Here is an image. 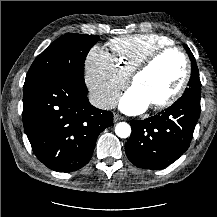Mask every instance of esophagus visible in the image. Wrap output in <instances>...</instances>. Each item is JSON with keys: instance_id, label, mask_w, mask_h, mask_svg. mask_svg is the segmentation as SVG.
<instances>
[{"instance_id": "34e87169", "label": "esophagus", "mask_w": 217, "mask_h": 217, "mask_svg": "<svg viewBox=\"0 0 217 217\" xmlns=\"http://www.w3.org/2000/svg\"><path fill=\"white\" fill-rule=\"evenodd\" d=\"M124 117L119 115V114H114V117H113V120L114 122H117V121H120V120H123Z\"/></svg>"}]
</instances>
